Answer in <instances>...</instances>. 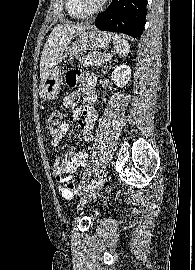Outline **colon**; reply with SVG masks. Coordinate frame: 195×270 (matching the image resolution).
I'll return each instance as SVG.
<instances>
[{
    "label": "colon",
    "instance_id": "1",
    "mask_svg": "<svg viewBox=\"0 0 195 270\" xmlns=\"http://www.w3.org/2000/svg\"><path fill=\"white\" fill-rule=\"evenodd\" d=\"M62 116L61 113L57 110H54L50 113L46 120L47 127L53 128L56 127L61 122ZM65 188L68 191H75L77 193H80L83 190V185L80 183L70 182L68 181L65 185Z\"/></svg>",
    "mask_w": 195,
    "mask_h": 270
}]
</instances>
